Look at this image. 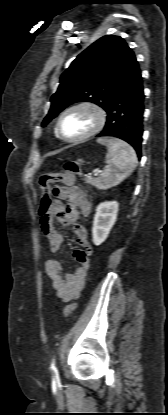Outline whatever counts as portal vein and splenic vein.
<instances>
[{"instance_id":"1","label":"portal vein and splenic vein","mask_w":168,"mask_h":415,"mask_svg":"<svg viewBox=\"0 0 168 415\" xmlns=\"http://www.w3.org/2000/svg\"><path fill=\"white\" fill-rule=\"evenodd\" d=\"M100 172L101 170H95L93 173H91V175L93 174L94 176H97Z\"/></svg>"}]
</instances>
